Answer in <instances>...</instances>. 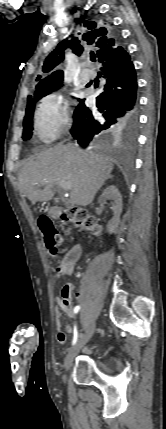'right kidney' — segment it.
<instances>
[{
    "instance_id": "obj_1",
    "label": "right kidney",
    "mask_w": 166,
    "mask_h": 429,
    "mask_svg": "<svg viewBox=\"0 0 166 429\" xmlns=\"http://www.w3.org/2000/svg\"><path fill=\"white\" fill-rule=\"evenodd\" d=\"M107 200H112L111 210L113 211V218L109 221L107 225V231L110 234L116 233L119 223H120V215L122 213V196L118 190V188L114 185L108 186L101 196L99 197V203L106 204Z\"/></svg>"
}]
</instances>
